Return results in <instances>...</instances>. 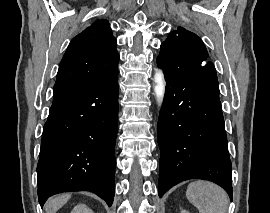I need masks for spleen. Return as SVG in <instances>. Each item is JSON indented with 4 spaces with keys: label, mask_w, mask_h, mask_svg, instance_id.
Wrapping results in <instances>:
<instances>
[{
    "label": "spleen",
    "mask_w": 270,
    "mask_h": 213,
    "mask_svg": "<svg viewBox=\"0 0 270 213\" xmlns=\"http://www.w3.org/2000/svg\"><path fill=\"white\" fill-rule=\"evenodd\" d=\"M186 197L199 213H227V196L214 183L200 180L191 182L187 187Z\"/></svg>",
    "instance_id": "spleen-1"
}]
</instances>
